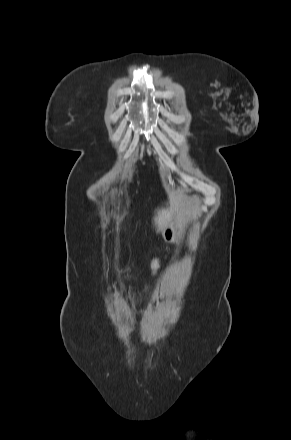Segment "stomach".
Here are the masks:
<instances>
[{
    "instance_id": "stomach-1",
    "label": "stomach",
    "mask_w": 291,
    "mask_h": 440,
    "mask_svg": "<svg viewBox=\"0 0 291 440\" xmlns=\"http://www.w3.org/2000/svg\"><path fill=\"white\" fill-rule=\"evenodd\" d=\"M184 203H185V214H191L196 209V203L192 196H185L184 197ZM184 219L180 217H173L170 219L168 224L165 226V228L162 231V235L166 241H174L178 236V228L180 226V223H182Z\"/></svg>"
}]
</instances>
